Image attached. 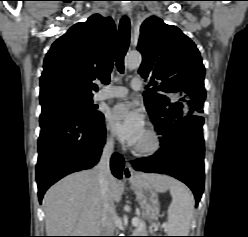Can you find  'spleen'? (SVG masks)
<instances>
[{
    "label": "spleen",
    "mask_w": 248,
    "mask_h": 237,
    "mask_svg": "<svg viewBox=\"0 0 248 237\" xmlns=\"http://www.w3.org/2000/svg\"><path fill=\"white\" fill-rule=\"evenodd\" d=\"M172 202L168 208L166 231L168 236H188L194 210V198L183 184L174 181L170 184Z\"/></svg>",
    "instance_id": "1"
}]
</instances>
